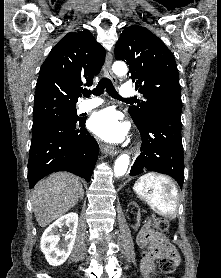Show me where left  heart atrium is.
<instances>
[{
    "instance_id": "1",
    "label": "left heart atrium",
    "mask_w": 221,
    "mask_h": 278,
    "mask_svg": "<svg viewBox=\"0 0 221 278\" xmlns=\"http://www.w3.org/2000/svg\"><path fill=\"white\" fill-rule=\"evenodd\" d=\"M89 128L97 136L110 142L120 141L126 134V127L119 122L117 114L111 109L93 114Z\"/></svg>"
}]
</instances>
